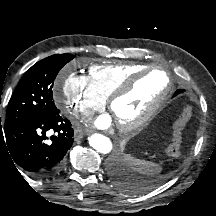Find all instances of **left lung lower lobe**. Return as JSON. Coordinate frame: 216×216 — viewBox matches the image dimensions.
Here are the masks:
<instances>
[{
    "label": "left lung lower lobe",
    "instance_id": "obj_1",
    "mask_svg": "<svg viewBox=\"0 0 216 216\" xmlns=\"http://www.w3.org/2000/svg\"><path fill=\"white\" fill-rule=\"evenodd\" d=\"M181 92H183V90H177L174 96L180 94ZM110 172L117 186L124 191L133 192L138 188V185H136L132 177L126 173L119 161L114 160L112 162L110 166Z\"/></svg>",
    "mask_w": 216,
    "mask_h": 216
}]
</instances>
